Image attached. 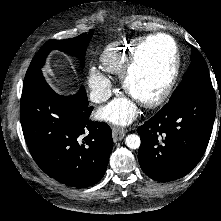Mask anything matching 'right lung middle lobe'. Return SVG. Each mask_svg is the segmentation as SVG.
Wrapping results in <instances>:
<instances>
[{
  "instance_id": "1",
  "label": "right lung middle lobe",
  "mask_w": 221,
  "mask_h": 221,
  "mask_svg": "<svg viewBox=\"0 0 221 221\" xmlns=\"http://www.w3.org/2000/svg\"><path fill=\"white\" fill-rule=\"evenodd\" d=\"M93 35V30L88 34H81L76 38L66 40H48L37 52L33 58L24 79V85L27 84L34 76L41 73V67L44 65L45 59L51 50L57 49L68 54L80 57L81 64H84V56L89 41Z\"/></svg>"
}]
</instances>
